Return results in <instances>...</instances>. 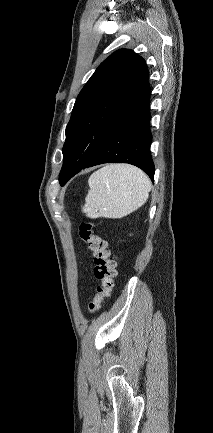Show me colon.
I'll return each mask as SVG.
<instances>
[{
  "label": "colon",
  "instance_id": "1",
  "mask_svg": "<svg viewBox=\"0 0 213 433\" xmlns=\"http://www.w3.org/2000/svg\"><path fill=\"white\" fill-rule=\"evenodd\" d=\"M94 227L91 221H82L78 226L79 237L93 253L94 275L98 280L95 296L88 305L90 314L95 313L102 302L111 295L116 276V263L111 256L108 243L95 234Z\"/></svg>",
  "mask_w": 213,
  "mask_h": 433
}]
</instances>
